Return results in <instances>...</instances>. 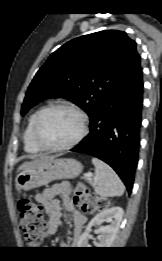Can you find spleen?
Here are the masks:
<instances>
[{
	"label": "spleen",
	"mask_w": 162,
	"mask_h": 261,
	"mask_svg": "<svg viewBox=\"0 0 162 261\" xmlns=\"http://www.w3.org/2000/svg\"><path fill=\"white\" fill-rule=\"evenodd\" d=\"M92 163L95 166V179L98 181L93 185L95 193L102 197L121 196L125 187L116 172L97 158H92Z\"/></svg>",
	"instance_id": "obj_1"
}]
</instances>
